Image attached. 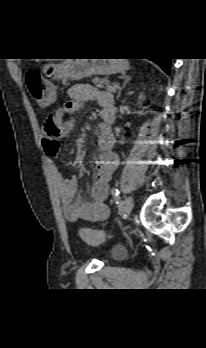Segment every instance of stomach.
Segmentation results:
<instances>
[{"label":"stomach","instance_id":"0dacf381","mask_svg":"<svg viewBox=\"0 0 206 348\" xmlns=\"http://www.w3.org/2000/svg\"><path fill=\"white\" fill-rule=\"evenodd\" d=\"M126 68L127 62L121 59H66L60 64H47L42 71L52 80H81L91 75L109 76ZM36 102L40 107H46L54 99L42 96Z\"/></svg>","mask_w":206,"mask_h":348}]
</instances>
